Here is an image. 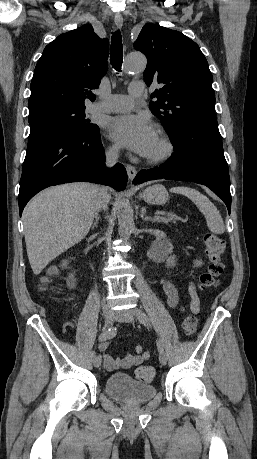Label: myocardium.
Here are the masks:
<instances>
[{
	"label": "myocardium",
	"instance_id": "1",
	"mask_svg": "<svg viewBox=\"0 0 257 459\" xmlns=\"http://www.w3.org/2000/svg\"><path fill=\"white\" fill-rule=\"evenodd\" d=\"M157 136L159 137L163 150L157 155H146L145 160L152 165H160L167 162L175 152V145L170 137L160 128L157 129Z\"/></svg>",
	"mask_w": 257,
	"mask_h": 459
}]
</instances>
